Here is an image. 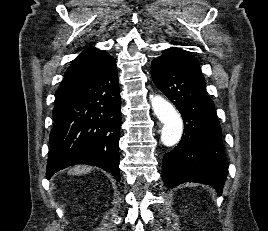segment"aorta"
Returning <instances> with one entry per match:
<instances>
[{"label":"aorta","instance_id":"obj_1","mask_svg":"<svg viewBox=\"0 0 268 231\" xmlns=\"http://www.w3.org/2000/svg\"><path fill=\"white\" fill-rule=\"evenodd\" d=\"M152 109L163 123L161 141L167 146L175 145L182 136L183 123L181 116L171 103L161 96H150Z\"/></svg>","mask_w":268,"mask_h":231}]
</instances>
